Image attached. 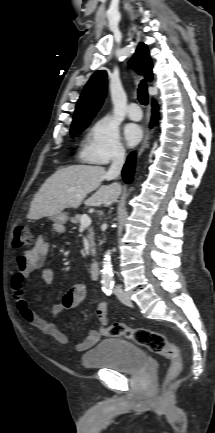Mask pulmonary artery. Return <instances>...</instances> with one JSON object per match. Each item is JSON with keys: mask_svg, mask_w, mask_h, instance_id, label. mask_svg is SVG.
I'll list each match as a JSON object with an SVG mask.
<instances>
[{"mask_svg": "<svg viewBox=\"0 0 215 433\" xmlns=\"http://www.w3.org/2000/svg\"><path fill=\"white\" fill-rule=\"evenodd\" d=\"M127 113H128L129 118L132 119V120H140L141 117H142V111H141V108H140V106H139L137 103H135V102L131 103V104L128 106V111H127Z\"/></svg>", "mask_w": 215, "mask_h": 433, "instance_id": "1", "label": "pulmonary artery"}]
</instances>
